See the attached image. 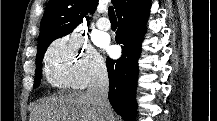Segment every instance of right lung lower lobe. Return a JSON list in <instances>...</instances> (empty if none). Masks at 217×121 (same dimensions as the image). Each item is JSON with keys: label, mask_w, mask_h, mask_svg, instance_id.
<instances>
[{"label": "right lung lower lobe", "mask_w": 217, "mask_h": 121, "mask_svg": "<svg viewBox=\"0 0 217 121\" xmlns=\"http://www.w3.org/2000/svg\"><path fill=\"white\" fill-rule=\"evenodd\" d=\"M117 14L119 28L116 41L122 44V56L118 60L107 58L109 76V101L125 121H134L136 112V85L138 58L145 24L149 16L150 0H125Z\"/></svg>", "instance_id": "98d812e1"}]
</instances>
